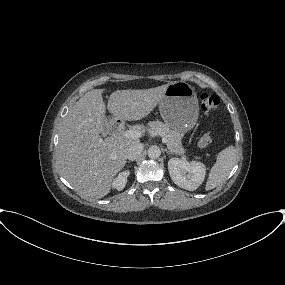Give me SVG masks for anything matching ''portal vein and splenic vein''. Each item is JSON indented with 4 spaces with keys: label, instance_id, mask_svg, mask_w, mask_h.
I'll use <instances>...</instances> for the list:
<instances>
[{
    "label": "portal vein and splenic vein",
    "instance_id": "1",
    "mask_svg": "<svg viewBox=\"0 0 285 285\" xmlns=\"http://www.w3.org/2000/svg\"><path fill=\"white\" fill-rule=\"evenodd\" d=\"M142 136V132L136 128H130L122 132V137L128 139H138ZM163 143H167V139L165 137L162 138Z\"/></svg>",
    "mask_w": 285,
    "mask_h": 285
}]
</instances>
